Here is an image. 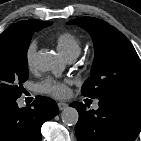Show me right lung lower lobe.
Here are the masks:
<instances>
[{
    "instance_id": "right-lung-lower-lobe-1",
    "label": "right lung lower lobe",
    "mask_w": 141,
    "mask_h": 141,
    "mask_svg": "<svg viewBox=\"0 0 141 141\" xmlns=\"http://www.w3.org/2000/svg\"><path fill=\"white\" fill-rule=\"evenodd\" d=\"M56 102L38 96L28 108H18L16 99L0 101V141H41L42 124L58 114Z\"/></svg>"
}]
</instances>
